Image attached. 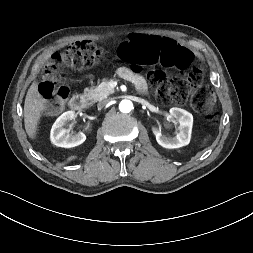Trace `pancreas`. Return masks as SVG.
<instances>
[{
  "instance_id": "pancreas-1",
  "label": "pancreas",
  "mask_w": 253,
  "mask_h": 253,
  "mask_svg": "<svg viewBox=\"0 0 253 253\" xmlns=\"http://www.w3.org/2000/svg\"><path fill=\"white\" fill-rule=\"evenodd\" d=\"M113 92L114 89L109 87V80L103 79L98 86L86 88L84 94L88 99L91 100V102H97L101 99L106 98Z\"/></svg>"
}]
</instances>
